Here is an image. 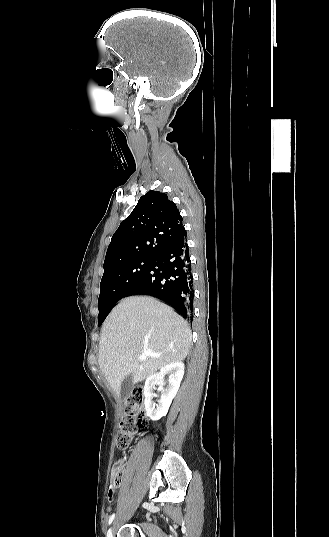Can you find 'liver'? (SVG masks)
I'll use <instances>...</instances> for the list:
<instances>
[{
	"instance_id": "obj_1",
	"label": "liver",
	"mask_w": 329,
	"mask_h": 537,
	"mask_svg": "<svg viewBox=\"0 0 329 537\" xmlns=\"http://www.w3.org/2000/svg\"><path fill=\"white\" fill-rule=\"evenodd\" d=\"M191 338L187 322L168 305L147 296L127 297L114 307L102 327L99 367L119 396L128 375L136 384L169 363L183 361ZM147 352L157 356L140 361L138 357Z\"/></svg>"
}]
</instances>
